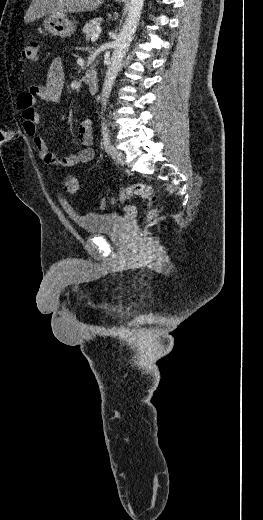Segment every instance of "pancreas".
Masks as SVG:
<instances>
[{"label":"pancreas","mask_w":263,"mask_h":520,"mask_svg":"<svg viewBox=\"0 0 263 520\" xmlns=\"http://www.w3.org/2000/svg\"><path fill=\"white\" fill-rule=\"evenodd\" d=\"M101 21L99 18H94L86 23L82 29L85 34L86 40H89L93 34L97 33L100 29Z\"/></svg>","instance_id":"cf45deb5"}]
</instances>
